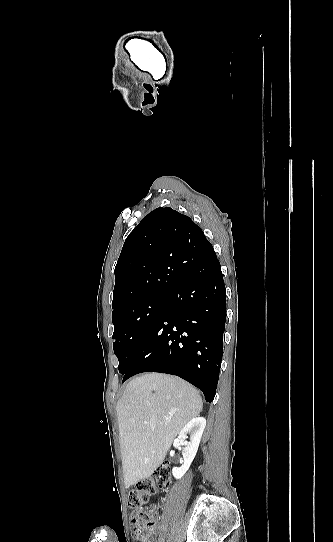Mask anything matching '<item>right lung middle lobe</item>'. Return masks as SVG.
<instances>
[{
    "mask_svg": "<svg viewBox=\"0 0 333 542\" xmlns=\"http://www.w3.org/2000/svg\"><path fill=\"white\" fill-rule=\"evenodd\" d=\"M167 302L168 293H162L143 303L123 308L113 316V349L121 374L127 371L137 349Z\"/></svg>",
    "mask_w": 333,
    "mask_h": 542,
    "instance_id": "1",
    "label": "right lung middle lobe"
}]
</instances>
